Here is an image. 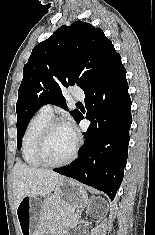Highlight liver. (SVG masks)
<instances>
[{"mask_svg": "<svg viewBox=\"0 0 155 235\" xmlns=\"http://www.w3.org/2000/svg\"><path fill=\"white\" fill-rule=\"evenodd\" d=\"M60 174L51 170L28 166L17 162L13 168V197L15 208L25 196H47L51 194L60 180Z\"/></svg>", "mask_w": 155, "mask_h": 235, "instance_id": "obj_1", "label": "liver"}]
</instances>
